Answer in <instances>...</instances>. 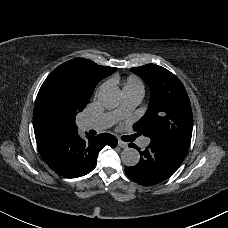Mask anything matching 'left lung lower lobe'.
<instances>
[{
	"label": "left lung lower lobe",
	"instance_id": "left-lung-lower-lobe-1",
	"mask_svg": "<svg viewBox=\"0 0 228 228\" xmlns=\"http://www.w3.org/2000/svg\"><path fill=\"white\" fill-rule=\"evenodd\" d=\"M140 161L132 167L125 168L129 178L142 185H155L169 178L182 164L188 148L174 142L151 138L150 144L141 151Z\"/></svg>",
	"mask_w": 228,
	"mask_h": 228
}]
</instances>
